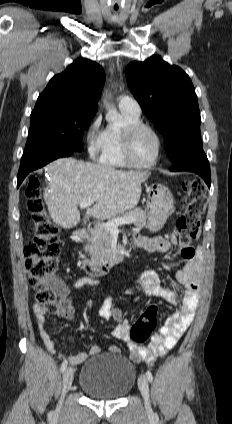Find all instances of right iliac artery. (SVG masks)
Listing matches in <instances>:
<instances>
[{
	"instance_id": "obj_1",
	"label": "right iliac artery",
	"mask_w": 232,
	"mask_h": 424,
	"mask_svg": "<svg viewBox=\"0 0 232 424\" xmlns=\"http://www.w3.org/2000/svg\"><path fill=\"white\" fill-rule=\"evenodd\" d=\"M67 360H64L61 364V372L63 373L65 371V369L67 368Z\"/></svg>"
}]
</instances>
